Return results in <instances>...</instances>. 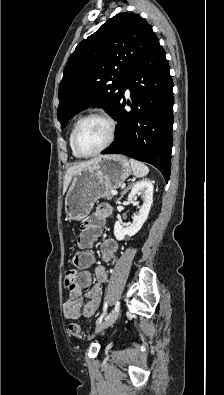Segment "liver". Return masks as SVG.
<instances>
[{"label": "liver", "mask_w": 224, "mask_h": 395, "mask_svg": "<svg viewBox=\"0 0 224 395\" xmlns=\"http://www.w3.org/2000/svg\"><path fill=\"white\" fill-rule=\"evenodd\" d=\"M99 158H100V157H95V158H93V159H91V160L78 163V164H76V165H74V166L68 168L67 171H66V173H65V177H64L63 193L67 190V188H68V186H69V184H70V182H71L73 176H74L77 172H79V171H81V170H83V169H85V168L91 166V165H92L93 163H95Z\"/></svg>", "instance_id": "liver-1"}]
</instances>
